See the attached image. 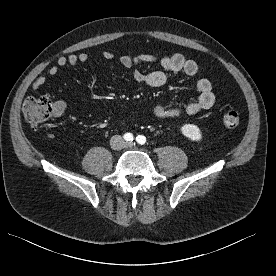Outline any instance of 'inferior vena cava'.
Instances as JSON below:
<instances>
[{"mask_svg": "<svg viewBox=\"0 0 276 276\" xmlns=\"http://www.w3.org/2000/svg\"><path fill=\"white\" fill-rule=\"evenodd\" d=\"M110 144L113 149L118 150L123 147L124 140L120 135H115L111 138Z\"/></svg>", "mask_w": 276, "mask_h": 276, "instance_id": "602c4592", "label": "inferior vena cava"}]
</instances>
